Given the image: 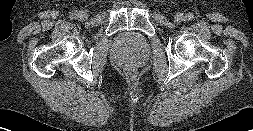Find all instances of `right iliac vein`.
<instances>
[{
    "instance_id": "right-iliac-vein-1",
    "label": "right iliac vein",
    "mask_w": 253,
    "mask_h": 131,
    "mask_svg": "<svg viewBox=\"0 0 253 131\" xmlns=\"http://www.w3.org/2000/svg\"><path fill=\"white\" fill-rule=\"evenodd\" d=\"M78 18H79L80 20H86V19H87V14H86L84 11H80V12L78 13Z\"/></svg>"
}]
</instances>
